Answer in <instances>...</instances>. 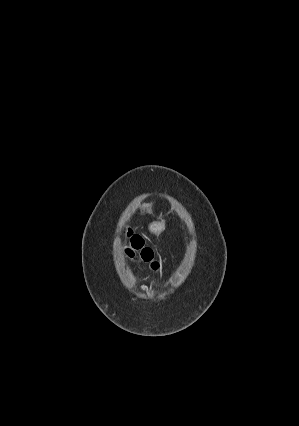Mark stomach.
<instances>
[{
    "label": "stomach",
    "instance_id": "0dacf381",
    "mask_svg": "<svg viewBox=\"0 0 299 426\" xmlns=\"http://www.w3.org/2000/svg\"><path fill=\"white\" fill-rule=\"evenodd\" d=\"M166 228V224L164 220L153 221L148 225V229L151 233L159 235Z\"/></svg>",
    "mask_w": 299,
    "mask_h": 426
}]
</instances>
